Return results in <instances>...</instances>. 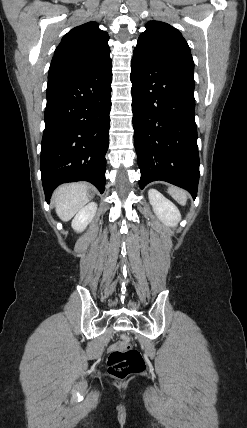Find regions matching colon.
Segmentation results:
<instances>
[{
  "instance_id": "obj_1",
  "label": "colon",
  "mask_w": 247,
  "mask_h": 428,
  "mask_svg": "<svg viewBox=\"0 0 247 428\" xmlns=\"http://www.w3.org/2000/svg\"><path fill=\"white\" fill-rule=\"evenodd\" d=\"M110 375L124 379L145 369L141 353L132 347L128 336H123L112 348L107 360Z\"/></svg>"
}]
</instances>
